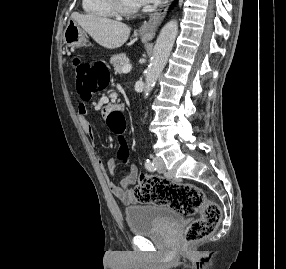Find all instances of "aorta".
<instances>
[{"instance_id": "762f6f07", "label": "aorta", "mask_w": 286, "mask_h": 269, "mask_svg": "<svg viewBox=\"0 0 286 269\" xmlns=\"http://www.w3.org/2000/svg\"><path fill=\"white\" fill-rule=\"evenodd\" d=\"M178 33V23L171 20L161 29L154 46L153 56L145 75L144 97L147 98L165 67Z\"/></svg>"}]
</instances>
